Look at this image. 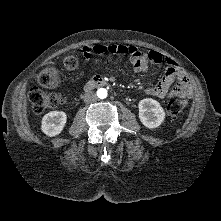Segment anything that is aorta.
I'll use <instances>...</instances> for the list:
<instances>
[{
  "instance_id": "aorta-1",
  "label": "aorta",
  "mask_w": 221,
  "mask_h": 221,
  "mask_svg": "<svg viewBox=\"0 0 221 221\" xmlns=\"http://www.w3.org/2000/svg\"><path fill=\"white\" fill-rule=\"evenodd\" d=\"M97 96L100 99H104L107 97V90L105 88H99L97 90Z\"/></svg>"
}]
</instances>
